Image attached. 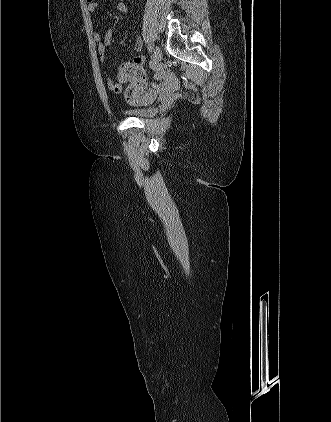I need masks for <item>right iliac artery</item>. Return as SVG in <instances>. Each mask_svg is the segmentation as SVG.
<instances>
[{
    "label": "right iliac artery",
    "instance_id": "right-iliac-artery-1",
    "mask_svg": "<svg viewBox=\"0 0 331 422\" xmlns=\"http://www.w3.org/2000/svg\"><path fill=\"white\" fill-rule=\"evenodd\" d=\"M147 51L149 54L153 53V48L151 47V45H148Z\"/></svg>",
    "mask_w": 331,
    "mask_h": 422
}]
</instances>
